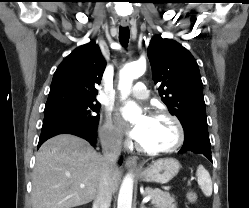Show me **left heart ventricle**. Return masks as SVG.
Listing matches in <instances>:
<instances>
[{
  "instance_id": "1",
  "label": "left heart ventricle",
  "mask_w": 249,
  "mask_h": 208,
  "mask_svg": "<svg viewBox=\"0 0 249 208\" xmlns=\"http://www.w3.org/2000/svg\"><path fill=\"white\" fill-rule=\"evenodd\" d=\"M177 136L176 126L170 119L147 117L144 135L138 143L149 149L167 148L176 142Z\"/></svg>"
}]
</instances>
